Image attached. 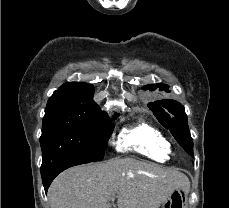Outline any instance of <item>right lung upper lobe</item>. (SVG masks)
<instances>
[{
  "label": "right lung upper lobe",
  "mask_w": 229,
  "mask_h": 208,
  "mask_svg": "<svg viewBox=\"0 0 229 208\" xmlns=\"http://www.w3.org/2000/svg\"><path fill=\"white\" fill-rule=\"evenodd\" d=\"M94 87L82 82L63 84L49 98L47 106H65L74 108L86 115L111 121L105 111L93 101ZM116 118V117H115ZM114 118V119H115Z\"/></svg>",
  "instance_id": "obj_1"
}]
</instances>
